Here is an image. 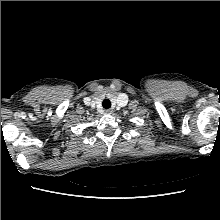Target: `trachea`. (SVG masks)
Wrapping results in <instances>:
<instances>
[{"label":"trachea","instance_id":"obj_1","mask_svg":"<svg viewBox=\"0 0 220 220\" xmlns=\"http://www.w3.org/2000/svg\"><path fill=\"white\" fill-rule=\"evenodd\" d=\"M102 106H103L105 109L110 108V107H111V102H110V100L105 99V100L102 102Z\"/></svg>","mask_w":220,"mask_h":220}]
</instances>
